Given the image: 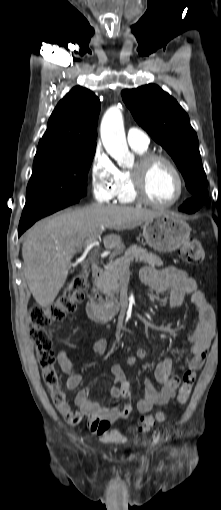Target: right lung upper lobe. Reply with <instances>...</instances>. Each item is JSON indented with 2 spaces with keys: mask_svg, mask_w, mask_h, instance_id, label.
Segmentation results:
<instances>
[{
  "mask_svg": "<svg viewBox=\"0 0 221 510\" xmlns=\"http://www.w3.org/2000/svg\"><path fill=\"white\" fill-rule=\"evenodd\" d=\"M100 101L90 90L76 86L58 103L35 158L96 147Z\"/></svg>",
  "mask_w": 221,
  "mask_h": 510,
  "instance_id": "right-lung-upper-lobe-1",
  "label": "right lung upper lobe"
}]
</instances>
